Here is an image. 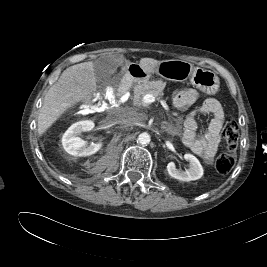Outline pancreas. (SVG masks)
I'll return each mask as SVG.
<instances>
[{
	"label": "pancreas",
	"mask_w": 267,
	"mask_h": 267,
	"mask_svg": "<svg viewBox=\"0 0 267 267\" xmlns=\"http://www.w3.org/2000/svg\"><path fill=\"white\" fill-rule=\"evenodd\" d=\"M165 85V82L159 80L146 82L145 84L135 87L133 96L134 103L144 105L142 98L146 94H153L156 98L162 97Z\"/></svg>",
	"instance_id": "1"
}]
</instances>
